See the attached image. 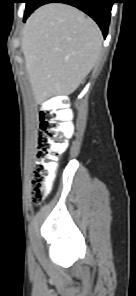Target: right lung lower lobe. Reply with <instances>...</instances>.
Segmentation results:
<instances>
[{
    "mask_svg": "<svg viewBox=\"0 0 136 296\" xmlns=\"http://www.w3.org/2000/svg\"><path fill=\"white\" fill-rule=\"evenodd\" d=\"M46 3H66L82 10L96 21L106 38L114 0H36L33 8L35 10ZM30 14L26 15L23 20L25 21Z\"/></svg>",
    "mask_w": 136,
    "mask_h": 296,
    "instance_id": "98d812e1",
    "label": "right lung lower lobe"
}]
</instances>
